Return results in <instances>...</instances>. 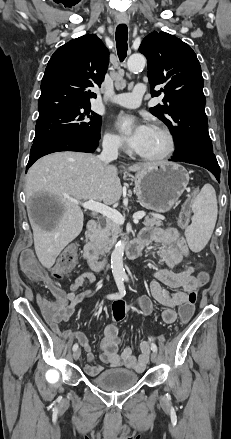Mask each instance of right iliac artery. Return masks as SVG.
<instances>
[{"mask_svg": "<svg viewBox=\"0 0 231 439\" xmlns=\"http://www.w3.org/2000/svg\"><path fill=\"white\" fill-rule=\"evenodd\" d=\"M116 284L118 287L119 292L115 293V294H109L107 296L108 299L112 300V299H119L121 297H123L125 295V287H124V283H123V278H118L116 279ZM78 349V344H74L73 346V351Z\"/></svg>", "mask_w": 231, "mask_h": 439, "instance_id": "82829eb1", "label": "right iliac artery"}]
</instances>
